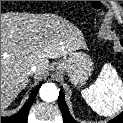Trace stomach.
<instances>
[{"instance_id":"stomach-1","label":"stomach","mask_w":123,"mask_h":123,"mask_svg":"<svg viewBox=\"0 0 123 123\" xmlns=\"http://www.w3.org/2000/svg\"><path fill=\"white\" fill-rule=\"evenodd\" d=\"M57 69L67 73L74 86L84 84L93 70V61L86 53L77 51L61 60Z\"/></svg>"}]
</instances>
